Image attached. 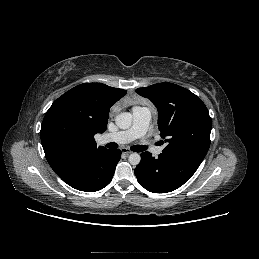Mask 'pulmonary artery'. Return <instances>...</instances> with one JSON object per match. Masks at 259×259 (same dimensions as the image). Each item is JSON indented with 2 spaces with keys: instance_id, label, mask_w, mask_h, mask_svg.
Returning <instances> with one entry per match:
<instances>
[{
  "instance_id": "e3ab8cb5",
  "label": "pulmonary artery",
  "mask_w": 259,
  "mask_h": 259,
  "mask_svg": "<svg viewBox=\"0 0 259 259\" xmlns=\"http://www.w3.org/2000/svg\"><path fill=\"white\" fill-rule=\"evenodd\" d=\"M133 124L132 126L123 131L115 133H108L102 136L103 142H116L119 144L129 143L137 138H141L145 135L148 129V125L151 119V111L147 107H134L132 110ZM162 147H154L153 153L155 155L161 154Z\"/></svg>"
}]
</instances>
